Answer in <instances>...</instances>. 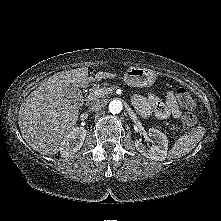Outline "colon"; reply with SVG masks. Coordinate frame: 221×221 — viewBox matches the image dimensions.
I'll list each match as a JSON object with an SVG mask.
<instances>
[{
	"label": "colon",
	"instance_id": "colon-1",
	"mask_svg": "<svg viewBox=\"0 0 221 221\" xmlns=\"http://www.w3.org/2000/svg\"><path fill=\"white\" fill-rule=\"evenodd\" d=\"M175 100L181 109L185 110V114L182 117V126L185 129H192L197 126V117L192 113L195 107V103L190 94L183 88H179L175 92Z\"/></svg>",
	"mask_w": 221,
	"mask_h": 221
}]
</instances>
